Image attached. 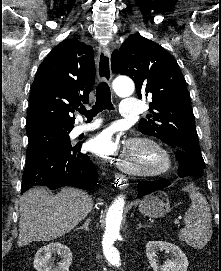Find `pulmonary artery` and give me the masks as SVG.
I'll return each instance as SVG.
<instances>
[{"label":"pulmonary artery","mask_w":221,"mask_h":271,"mask_svg":"<svg viewBox=\"0 0 221 271\" xmlns=\"http://www.w3.org/2000/svg\"><path fill=\"white\" fill-rule=\"evenodd\" d=\"M145 102H140V98H123L121 117H138V112H144ZM93 122H101V117H93ZM81 132H88L89 129L80 127Z\"/></svg>","instance_id":"obj_1"}]
</instances>
